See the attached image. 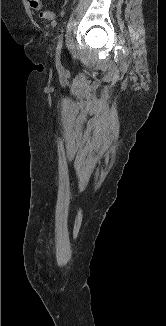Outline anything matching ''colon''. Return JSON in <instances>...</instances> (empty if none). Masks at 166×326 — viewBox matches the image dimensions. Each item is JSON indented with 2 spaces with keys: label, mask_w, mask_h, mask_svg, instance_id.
<instances>
[{
  "label": "colon",
  "mask_w": 166,
  "mask_h": 326,
  "mask_svg": "<svg viewBox=\"0 0 166 326\" xmlns=\"http://www.w3.org/2000/svg\"><path fill=\"white\" fill-rule=\"evenodd\" d=\"M40 18L48 21H53L54 20V12L51 10H41L39 13Z\"/></svg>",
  "instance_id": "obj_1"
}]
</instances>
